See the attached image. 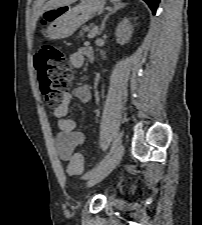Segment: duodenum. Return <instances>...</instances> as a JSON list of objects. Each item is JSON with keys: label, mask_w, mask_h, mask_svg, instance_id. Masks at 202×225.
Listing matches in <instances>:
<instances>
[{"label": "duodenum", "mask_w": 202, "mask_h": 225, "mask_svg": "<svg viewBox=\"0 0 202 225\" xmlns=\"http://www.w3.org/2000/svg\"><path fill=\"white\" fill-rule=\"evenodd\" d=\"M89 58L92 59L93 58V55H90Z\"/></svg>", "instance_id": "1"}]
</instances>
